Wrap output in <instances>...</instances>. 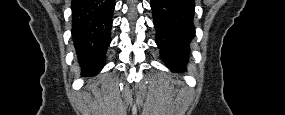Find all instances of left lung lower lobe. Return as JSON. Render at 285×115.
Instances as JSON below:
<instances>
[{"mask_svg":"<svg viewBox=\"0 0 285 115\" xmlns=\"http://www.w3.org/2000/svg\"><path fill=\"white\" fill-rule=\"evenodd\" d=\"M156 43L164 63L180 69L189 59V44L195 36L193 0H151Z\"/></svg>","mask_w":285,"mask_h":115,"instance_id":"obj_1","label":"left lung lower lobe"}]
</instances>
